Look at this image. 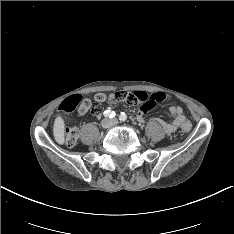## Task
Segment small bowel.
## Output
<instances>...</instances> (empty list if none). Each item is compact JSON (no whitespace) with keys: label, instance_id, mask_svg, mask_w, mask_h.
<instances>
[{"label":"small bowel","instance_id":"1","mask_svg":"<svg viewBox=\"0 0 234 234\" xmlns=\"http://www.w3.org/2000/svg\"><path fill=\"white\" fill-rule=\"evenodd\" d=\"M149 111V109L140 108L137 113L136 117L139 121L145 120V115ZM169 112L171 114V120L168 122H162L158 118H153L152 121L159 122L163 126L164 130L171 134L173 133L177 128L182 127L183 124L186 122V118L184 116L183 110L180 106H172L169 109Z\"/></svg>","mask_w":234,"mask_h":234}]
</instances>
